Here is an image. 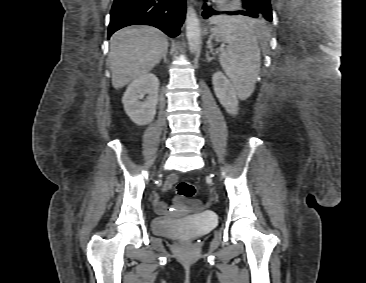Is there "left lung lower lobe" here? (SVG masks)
Returning <instances> with one entry per match:
<instances>
[{
  "mask_svg": "<svg viewBox=\"0 0 366 283\" xmlns=\"http://www.w3.org/2000/svg\"><path fill=\"white\" fill-rule=\"evenodd\" d=\"M242 5L246 11L224 12V13H227L229 15L241 14V15L249 16V17H253V18H259L262 15L261 10L255 8L254 5H252L251 1L242 0ZM203 9L204 10H203L202 15H203L204 19H208L211 16L219 14L218 12L214 11L211 7H208L206 4H204Z\"/></svg>",
  "mask_w": 366,
  "mask_h": 283,
  "instance_id": "left-lung-lower-lobe-1",
  "label": "left lung lower lobe"
}]
</instances>
